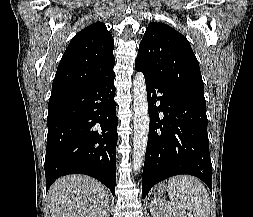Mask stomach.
I'll list each match as a JSON object with an SVG mask.
<instances>
[{"instance_id":"0dacf381","label":"stomach","mask_w":253,"mask_h":217,"mask_svg":"<svg viewBox=\"0 0 253 217\" xmlns=\"http://www.w3.org/2000/svg\"><path fill=\"white\" fill-rule=\"evenodd\" d=\"M165 191H166V186L164 184L159 185V187H158L159 194L163 193Z\"/></svg>"}]
</instances>
